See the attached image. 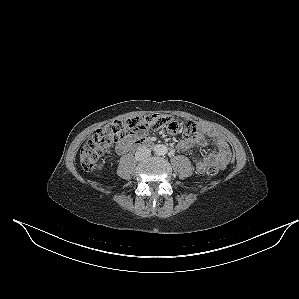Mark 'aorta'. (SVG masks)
<instances>
[{
  "instance_id": "762f6f07",
  "label": "aorta",
  "mask_w": 299,
  "mask_h": 299,
  "mask_svg": "<svg viewBox=\"0 0 299 299\" xmlns=\"http://www.w3.org/2000/svg\"><path fill=\"white\" fill-rule=\"evenodd\" d=\"M156 153L158 155H164L167 153V147L165 145H158L156 148Z\"/></svg>"
}]
</instances>
